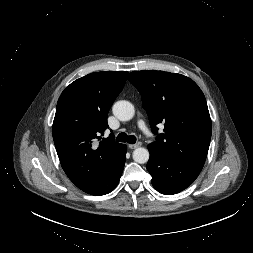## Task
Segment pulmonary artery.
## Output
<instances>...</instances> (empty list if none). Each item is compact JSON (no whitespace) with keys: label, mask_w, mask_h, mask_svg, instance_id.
Segmentation results:
<instances>
[{"label":"pulmonary artery","mask_w":253,"mask_h":253,"mask_svg":"<svg viewBox=\"0 0 253 253\" xmlns=\"http://www.w3.org/2000/svg\"><path fill=\"white\" fill-rule=\"evenodd\" d=\"M138 127L140 128L141 131L148 134V128L143 120H138Z\"/></svg>","instance_id":"e3ab8cb5"}]
</instances>
